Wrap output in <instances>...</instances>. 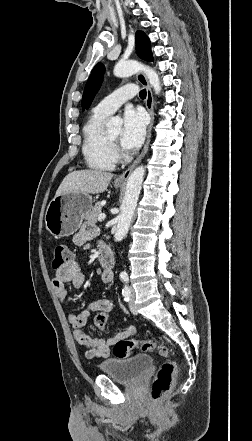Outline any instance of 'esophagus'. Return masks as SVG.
I'll return each mask as SVG.
<instances>
[{"instance_id":"esophagus-1","label":"esophagus","mask_w":252,"mask_h":441,"mask_svg":"<svg viewBox=\"0 0 252 441\" xmlns=\"http://www.w3.org/2000/svg\"><path fill=\"white\" fill-rule=\"evenodd\" d=\"M136 78L146 88L147 95H146L145 105H146L147 111H148V113L150 115V123H149L148 130H147L146 142H145V145H144L141 153L134 160V162L121 175H119L116 178V182H119V183H125L126 182V180L130 176V174L133 171V169L141 161V159L145 156V154H146V152L148 150L149 144H150L151 132H152V127H153V123H154V99H153V94H152L149 82H148L146 76L143 73H138L136 75Z\"/></svg>"}]
</instances>
